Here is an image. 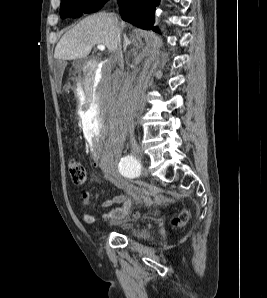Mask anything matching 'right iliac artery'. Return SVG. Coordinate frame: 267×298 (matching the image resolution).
Instances as JSON below:
<instances>
[{"label":"right iliac artery","instance_id":"1","mask_svg":"<svg viewBox=\"0 0 267 298\" xmlns=\"http://www.w3.org/2000/svg\"><path fill=\"white\" fill-rule=\"evenodd\" d=\"M122 162L127 167H139V162L132 155H128L122 159Z\"/></svg>","mask_w":267,"mask_h":298}]
</instances>
